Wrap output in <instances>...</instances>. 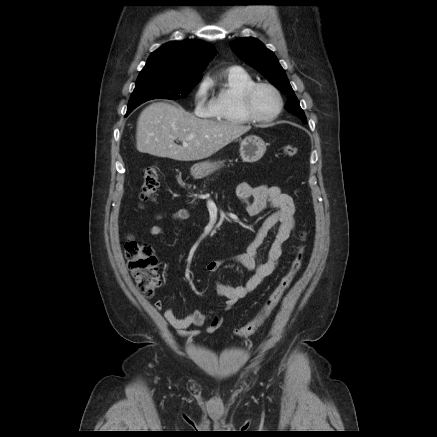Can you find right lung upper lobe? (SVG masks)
Returning a JSON list of instances; mask_svg holds the SVG:
<instances>
[{
  "mask_svg": "<svg viewBox=\"0 0 437 437\" xmlns=\"http://www.w3.org/2000/svg\"><path fill=\"white\" fill-rule=\"evenodd\" d=\"M216 49L201 40L172 41L154 51L141 72L162 70L182 78H202Z\"/></svg>",
  "mask_w": 437,
  "mask_h": 437,
  "instance_id": "right-lung-upper-lobe-1",
  "label": "right lung upper lobe"
}]
</instances>
